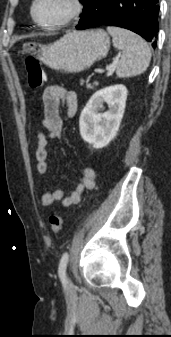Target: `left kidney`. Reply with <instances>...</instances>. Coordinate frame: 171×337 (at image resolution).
<instances>
[{"instance_id": "obj_1", "label": "left kidney", "mask_w": 171, "mask_h": 337, "mask_svg": "<svg viewBox=\"0 0 171 337\" xmlns=\"http://www.w3.org/2000/svg\"><path fill=\"white\" fill-rule=\"evenodd\" d=\"M127 99L124 85H114L95 92L79 119L80 134L84 141L100 149L109 144L119 129ZM103 103L109 110L100 113Z\"/></svg>"}]
</instances>
